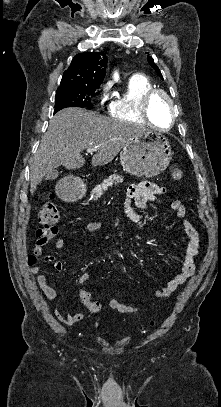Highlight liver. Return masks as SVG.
<instances>
[{"mask_svg": "<svg viewBox=\"0 0 221 407\" xmlns=\"http://www.w3.org/2000/svg\"><path fill=\"white\" fill-rule=\"evenodd\" d=\"M144 132V127L110 119L86 109L72 107L57 112L31 160V194L54 168L61 165L68 170L83 167L85 159L81 153L84 150L96 148L91 160L93 167L106 165L134 137Z\"/></svg>", "mask_w": 221, "mask_h": 407, "instance_id": "1", "label": "liver"}]
</instances>
